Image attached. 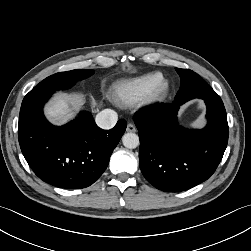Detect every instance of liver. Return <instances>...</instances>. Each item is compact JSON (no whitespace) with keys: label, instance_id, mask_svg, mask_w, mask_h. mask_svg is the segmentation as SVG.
<instances>
[{"label":"liver","instance_id":"6515ba94","mask_svg":"<svg viewBox=\"0 0 251 251\" xmlns=\"http://www.w3.org/2000/svg\"><path fill=\"white\" fill-rule=\"evenodd\" d=\"M79 101L77 97L56 96L45 107V114L56 124H64L74 117V109L78 106Z\"/></svg>","mask_w":251,"mask_h":251}]
</instances>
